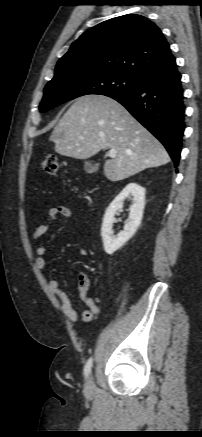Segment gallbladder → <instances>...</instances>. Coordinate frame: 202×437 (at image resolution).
Instances as JSON below:
<instances>
[{
  "label": "gallbladder",
  "instance_id": "obj_1",
  "mask_svg": "<svg viewBox=\"0 0 202 437\" xmlns=\"http://www.w3.org/2000/svg\"><path fill=\"white\" fill-rule=\"evenodd\" d=\"M85 166H86L87 168H90V167H91V165H90L89 163H86Z\"/></svg>",
  "mask_w": 202,
  "mask_h": 437
}]
</instances>
